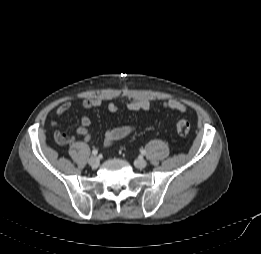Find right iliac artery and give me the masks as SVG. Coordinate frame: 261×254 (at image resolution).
Here are the masks:
<instances>
[{
	"mask_svg": "<svg viewBox=\"0 0 261 254\" xmlns=\"http://www.w3.org/2000/svg\"><path fill=\"white\" fill-rule=\"evenodd\" d=\"M92 154L96 156L98 154V150L97 149H93Z\"/></svg>",
	"mask_w": 261,
	"mask_h": 254,
	"instance_id": "1",
	"label": "right iliac artery"
}]
</instances>
